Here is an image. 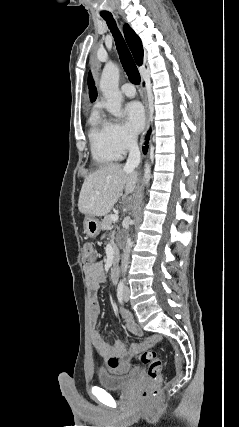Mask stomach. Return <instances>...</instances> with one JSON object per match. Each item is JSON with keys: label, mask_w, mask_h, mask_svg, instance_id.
<instances>
[{"label": "stomach", "mask_w": 239, "mask_h": 427, "mask_svg": "<svg viewBox=\"0 0 239 427\" xmlns=\"http://www.w3.org/2000/svg\"><path fill=\"white\" fill-rule=\"evenodd\" d=\"M84 231L87 236L95 238L101 231V222L94 216H86L84 220Z\"/></svg>", "instance_id": "0dacf381"}]
</instances>
